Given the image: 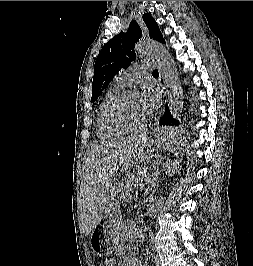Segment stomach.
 <instances>
[{
  "instance_id": "1",
  "label": "stomach",
  "mask_w": 253,
  "mask_h": 266,
  "mask_svg": "<svg viewBox=\"0 0 253 266\" xmlns=\"http://www.w3.org/2000/svg\"><path fill=\"white\" fill-rule=\"evenodd\" d=\"M171 138H183L178 131L173 129H162L154 141L145 139L135 150V153L123 165L124 169H128L133 164H138L149 160L154 151H156L160 143L165 144L169 149ZM119 181L114 180L108 201L107 208L103 213L101 223L96 226L90 237V246L93 252L98 256H108L117 248L120 240V227L122 223V215L119 202L116 195L119 192Z\"/></svg>"
}]
</instances>
